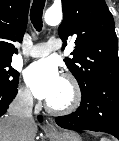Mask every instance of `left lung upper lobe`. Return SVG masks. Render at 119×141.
<instances>
[{"label": "left lung upper lobe", "instance_id": "1", "mask_svg": "<svg viewBox=\"0 0 119 141\" xmlns=\"http://www.w3.org/2000/svg\"><path fill=\"white\" fill-rule=\"evenodd\" d=\"M59 36L75 39L73 58L65 63L86 92L102 79H119L118 43L114 19L104 0H62Z\"/></svg>", "mask_w": 119, "mask_h": 141}]
</instances>
